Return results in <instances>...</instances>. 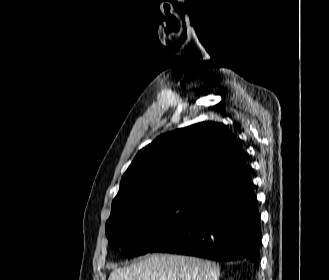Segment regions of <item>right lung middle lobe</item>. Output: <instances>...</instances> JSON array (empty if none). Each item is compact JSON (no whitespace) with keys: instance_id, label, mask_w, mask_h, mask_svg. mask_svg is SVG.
<instances>
[{"instance_id":"right-lung-middle-lobe-1","label":"right lung middle lobe","mask_w":329,"mask_h":280,"mask_svg":"<svg viewBox=\"0 0 329 280\" xmlns=\"http://www.w3.org/2000/svg\"><path fill=\"white\" fill-rule=\"evenodd\" d=\"M200 200L201 197L175 196L112 205L105 228L109 244L121 247L127 257L146 254L169 237Z\"/></svg>"}]
</instances>
